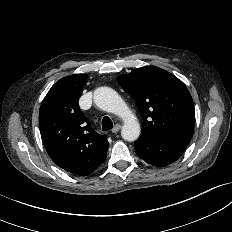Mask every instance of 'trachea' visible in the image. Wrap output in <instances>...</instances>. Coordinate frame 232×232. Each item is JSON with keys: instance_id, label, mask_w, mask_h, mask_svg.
Instances as JSON below:
<instances>
[{"instance_id": "1", "label": "trachea", "mask_w": 232, "mask_h": 232, "mask_svg": "<svg viewBox=\"0 0 232 232\" xmlns=\"http://www.w3.org/2000/svg\"><path fill=\"white\" fill-rule=\"evenodd\" d=\"M113 128V123L108 116H104L102 119V130L107 131Z\"/></svg>"}]
</instances>
